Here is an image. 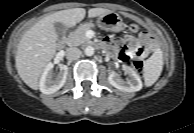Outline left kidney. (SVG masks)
Listing matches in <instances>:
<instances>
[{
	"label": "left kidney",
	"instance_id": "1",
	"mask_svg": "<svg viewBox=\"0 0 194 133\" xmlns=\"http://www.w3.org/2000/svg\"><path fill=\"white\" fill-rule=\"evenodd\" d=\"M122 69L128 77L124 80L118 77L115 73H111L108 77L109 83L124 92H136L141 90L142 82L135 70L127 65H123Z\"/></svg>",
	"mask_w": 194,
	"mask_h": 133
}]
</instances>
